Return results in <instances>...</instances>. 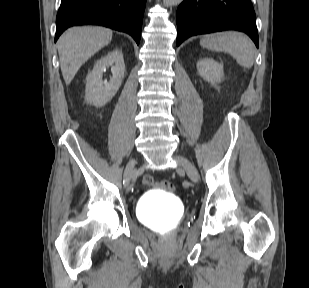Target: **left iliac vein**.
Masks as SVG:
<instances>
[{"label":"left iliac vein","mask_w":309,"mask_h":288,"mask_svg":"<svg viewBox=\"0 0 309 288\" xmlns=\"http://www.w3.org/2000/svg\"><path fill=\"white\" fill-rule=\"evenodd\" d=\"M175 159L178 161L177 170L184 169L188 177L193 181H198V173L194 165L186 158L182 156H175Z\"/></svg>","instance_id":"obj_1"}]
</instances>
